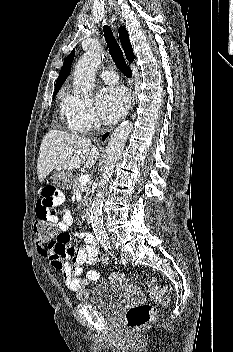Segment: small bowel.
<instances>
[{"label":"small bowel","instance_id":"small-bowel-1","mask_svg":"<svg viewBox=\"0 0 233 352\" xmlns=\"http://www.w3.org/2000/svg\"><path fill=\"white\" fill-rule=\"evenodd\" d=\"M64 200L63 192L52 185L40 189L37 218L47 219L54 224L58 235L49 241L37 239L36 247L39 255L61 273L66 287L75 291L99 280L100 273L97 270H88L84 278H81V274L83 265H94L99 261L100 251L91 233L70 231L73 223L71 212L66 208L57 209ZM73 242L81 243L82 247L75 248ZM69 259H72V263H69Z\"/></svg>","mask_w":233,"mask_h":352}]
</instances>
